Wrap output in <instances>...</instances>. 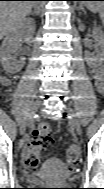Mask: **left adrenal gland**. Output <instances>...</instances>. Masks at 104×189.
Returning a JSON list of instances; mask_svg holds the SVG:
<instances>
[{"label":"left adrenal gland","instance_id":"1","mask_svg":"<svg viewBox=\"0 0 104 189\" xmlns=\"http://www.w3.org/2000/svg\"><path fill=\"white\" fill-rule=\"evenodd\" d=\"M81 10L85 12L84 8L81 6Z\"/></svg>","mask_w":104,"mask_h":189}]
</instances>
